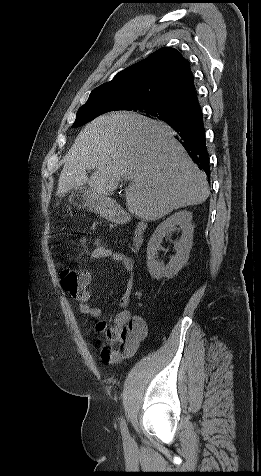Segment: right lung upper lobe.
I'll use <instances>...</instances> for the list:
<instances>
[{
	"label": "right lung upper lobe",
	"mask_w": 261,
	"mask_h": 476,
	"mask_svg": "<svg viewBox=\"0 0 261 476\" xmlns=\"http://www.w3.org/2000/svg\"><path fill=\"white\" fill-rule=\"evenodd\" d=\"M109 97L117 101L120 110L126 111L149 104L187 110L198 104L189 62L169 47L160 48L95 88L86 103Z\"/></svg>",
	"instance_id": "obj_1"
}]
</instances>
